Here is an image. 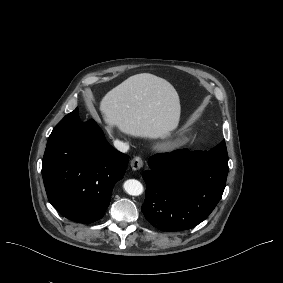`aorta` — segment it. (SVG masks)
Listing matches in <instances>:
<instances>
[{
    "instance_id": "1",
    "label": "aorta",
    "mask_w": 283,
    "mask_h": 283,
    "mask_svg": "<svg viewBox=\"0 0 283 283\" xmlns=\"http://www.w3.org/2000/svg\"><path fill=\"white\" fill-rule=\"evenodd\" d=\"M125 191L132 196H139L143 192V185L135 179H129L123 185Z\"/></svg>"
}]
</instances>
